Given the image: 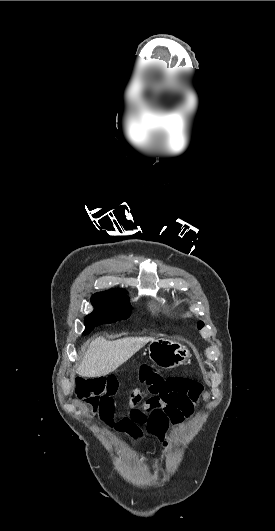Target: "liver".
I'll return each mask as SVG.
<instances>
[{"instance_id": "1", "label": "liver", "mask_w": 275, "mask_h": 531, "mask_svg": "<svg viewBox=\"0 0 275 531\" xmlns=\"http://www.w3.org/2000/svg\"><path fill=\"white\" fill-rule=\"evenodd\" d=\"M152 341L151 337H126L118 341H106L98 337L91 341L76 373L81 377H104L126 363L139 349Z\"/></svg>"}]
</instances>
